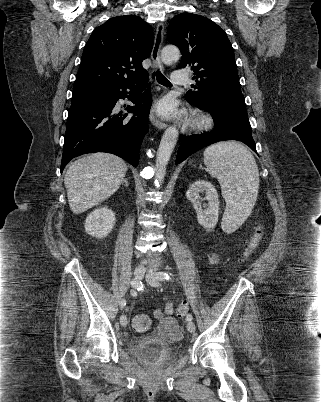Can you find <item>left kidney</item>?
Segmentation results:
<instances>
[{
	"mask_svg": "<svg viewBox=\"0 0 321 402\" xmlns=\"http://www.w3.org/2000/svg\"><path fill=\"white\" fill-rule=\"evenodd\" d=\"M206 192L205 200L207 204H204V209L200 202V192ZM187 199L193 203V207L197 213V220L200 225L206 229L214 228L218 222L219 215V199L218 193L215 187L206 180H197L191 184L186 192ZM247 219V218H246ZM244 219V221L246 220ZM241 223V225L244 223Z\"/></svg>",
	"mask_w": 321,
	"mask_h": 402,
	"instance_id": "obj_1",
	"label": "left kidney"
}]
</instances>
